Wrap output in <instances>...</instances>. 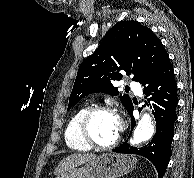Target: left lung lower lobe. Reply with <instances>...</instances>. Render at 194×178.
<instances>
[{
  "instance_id": "obj_1",
  "label": "left lung lower lobe",
  "mask_w": 194,
  "mask_h": 178,
  "mask_svg": "<svg viewBox=\"0 0 194 178\" xmlns=\"http://www.w3.org/2000/svg\"><path fill=\"white\" fill-rule=\"evenodd\" d=\"M141 84L144 86V95L150 97L148 102L153 107L152 112L157 125L156 133L151 142L141 149L130 147L126 140L113 151L125 154L134 153L149 159L157 169L159 178H162L172 153L171 143L174 136V123L177 120L176 106L178 104L177 84L169 56ZM127 111L131 116V129H133L135 126V120L132 115L133 104Z\"/></svg>"
}]
</instances>
